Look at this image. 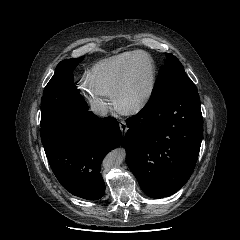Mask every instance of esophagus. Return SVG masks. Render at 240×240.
I'll list each match as a JSON object with an SVG mask.
<instances>
[{
    "instance_id": "34e87169",
    "label": "esophagus",
    "mask_w": 240,
    "mask_h": 240,
    "mask_svg": "<svg viewBox=\"0 0 240 240\" xmlns=\"http://www.w3.org/2000/svg\"><path fill=\"white\" fill-rule=\"evenodd\" d=\"M119 126H120V129H121L122 133L125 134L127 132V130H128V126H127L126 121L125 120H121L119 122Z\"/></svg>"
}]
</instances>
